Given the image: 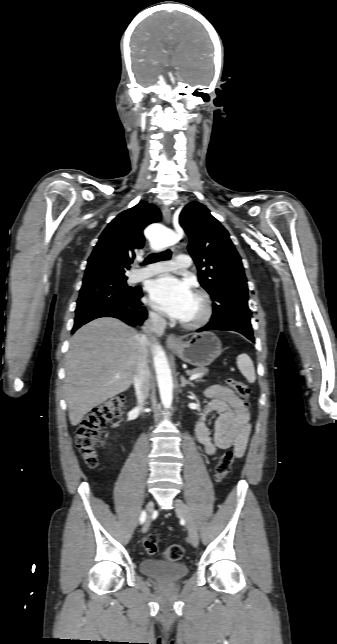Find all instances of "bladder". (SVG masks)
I'll return each instance as SVG.
<instances>
[{
	"mask_svg": "<svg viewBox=\"0 0 337 644\" xmlns=\"http://www.w3.org/2000/svg\"><path fill=\"white\" fill-rule=\"evenodd\" d=\"M140 571L144 575L157 580L177 581L188 574L189 568L182 562H170L145 558L140 562Z\"/></svg>",
	"mask_w": 337,
	"mask_h": 644,
	"instance_id": "bladder-1",
	"label": "bladder"
}]
</instances>
